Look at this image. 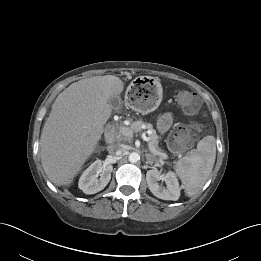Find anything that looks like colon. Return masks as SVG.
Returning <instances> with one entry per match:
<instances>
[{"mask_svg": "<svg viewBox=\"0 0 261 261\" xmlns=\"http://www.w3.org/2000/svg\"><path fill=\"white\" fill-rule=\"evenodd\" d=\"M175 98L182 110L189 114L195 113L200 106L198 97L190 90L180 89L176 91ZM200 130L201 126L196 122L186 127L177 128L169 137L170 149L175 153L189 149L193 144L192 135Z\"/></svg>", "mask_w": 261, "mask_h": 261, "instance_id": "colon-1", "label": "colon"}]
</instances>
